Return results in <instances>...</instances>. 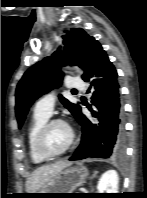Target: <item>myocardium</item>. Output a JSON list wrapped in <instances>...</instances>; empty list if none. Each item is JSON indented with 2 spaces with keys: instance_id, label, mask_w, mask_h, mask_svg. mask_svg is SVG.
Segmentation results:
<instances>
[{
  "instance_id": "myocardium-1",
  "label": "myocardium",
  "mask_w": 147,
  "mask_h": 198,
  "mask_svg": "<svg viewBox=\"0 0 147 198\" xmlns=\"http://www.w3.org/2000/svg\"><path fill=\"white\" fill-rule=\"evenodd\" d=\"M54 124L64 125L67 128L68 133H69V138H68L66 145L60 151H57V152H51L50 150L47 149L45 145V138H46L47 132L50 129V127L53 126ZM74 139H75L74 131L72 127L65 120L61 118H52V119H48L39 129L36 135V139H35V146H36L38 153L41 156L47 159H53L66 153L70 149V147L73 145Z\"/></svg>"
}]
</instances>
